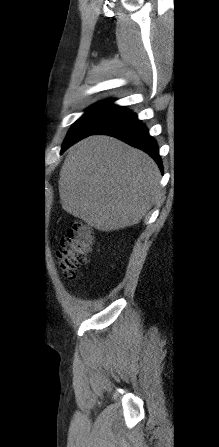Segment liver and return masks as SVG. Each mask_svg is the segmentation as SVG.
Wrapping results in <instances>:
<instances>
[{
	"label": "liver",
	"mask_w": 219,
	"mask_h": 447,
	"mask_svg": "<svg viewBox=\"0 0 219 447\" xmlns=\"http://www.w3.org/2000/svg\"><path fill=\"white\" fill-rule=\"evenodd\" d=\"M151 157L108 136L73 145L60 171L62 208L100 231L138 224L161 197Z\"/></svg>",
	"instance_id": "obj_1"
}]
</instances>
